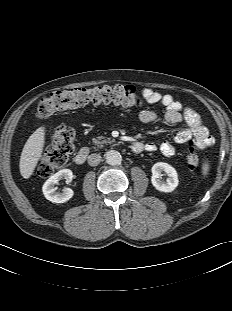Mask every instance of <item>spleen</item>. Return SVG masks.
<instances>
[{
  "label": "spleen",
  "instance_id": "1",
  "mask_svg": "<svg viewBox=\"0 0 232 311\" xmlns=\"http://www.w3.org/2000/svg\"><path fill=\"white\" fill-rule=\"evenodd\" d=\"M208 170H209V164L208 163H204L203 166H202V173H203V175H207Z\"/></svg>",
  "mask_w": 232,
  "mask_h": 311
}]
</instances>
